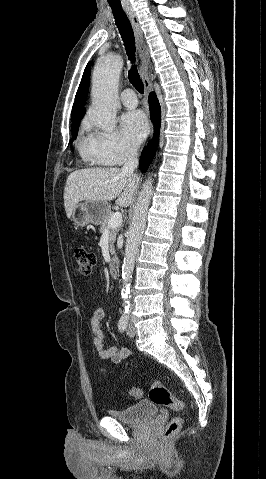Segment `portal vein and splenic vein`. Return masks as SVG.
<instances>
[{"label":"portal vein and splenic vein","instance_id":"portal-vein-and-splenic-vein-1","mask_svg":"<svg viewBox=\"0 0 266 479\" xmlns=\"http://www.w3.org/2000/svg\"><path fill=\"white\" fill-rule=\"evenodd\" d=\"M122 224V214L120 212L114 213L108 222V227L109 228H115L118 227Z\"/></svg>","mask_w":266,"mask_h":479}]
</instances>
